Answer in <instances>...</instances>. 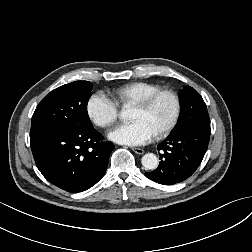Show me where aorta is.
I'll return each instance as SVG.
<instances>
[{"label":"aorta","instance_id":"1","mask_svg":"<svg viewBox=\"0 0 252 252\" xmlns=\"http://www.w3.org/2000/svg\"><path fill=\"white\" fill-rule=\"evenodd\" d=\"M120 119L123 121L130 120L131 119L130 109L123 108L120 112ZM141 163L145 169L154 170L158 167L159 160L155 154L147 153L142 157Z\"/></svg>","mask_w":252,"mask_h":252}]
</instances>
